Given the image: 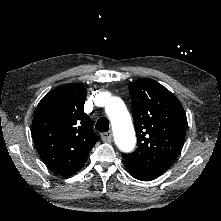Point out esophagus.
<instances>
[{
  "mask_svg": "<svg viewBox=\"0 0 221 221\" xmlns=\"http://www.w3.org/2000/svg\"><path fill=\"white\" fill-rule=\"evenodd\" d=\"M101 138L104 142L106 143H110L111 142V139H112V134L111 132H103L101 133Z\"/></svg>",
  "mask_w": 221,
  "mask_h": 221,
  "instance_id": "obj_1",
  "label": "esophagus"
}]
</instances>
